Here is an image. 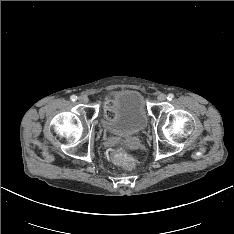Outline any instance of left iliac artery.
<instances>
[{
  "mask_svg": "<svg viewBox=\"0 0 234 234\" xmlns=\"http://www.w3.org/2000/svg\"><path fill=\"white\" fill-rule=\"evenodd\" d=\"M173 98H174V94L169 93L168 96H167V99L168 100H172Z\"/></svg>",
  "mask_w": 234,
  "mask_h": 234,
  "instance_id": "left-iliac-artery-1",
  "label": "left iliac artery"
}]
</instances>
